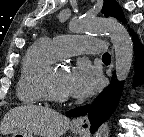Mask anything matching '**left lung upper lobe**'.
I'll list each match as a JSON object with an SVG mask.
<instances>
[{
    "mask_svg": "<svg viewBox=\"0 0 144 137\" xmlns=\"http://www.w3.org/2000/svg\"><path fill=\"white\" fill-rule=\"evenodd\" d=\"M102 13L105 14L106 17L110 16L120 20L121 22H126L122 9L115 0H104Z\"/></svg>",
    "mask_w": 144,
    "mask_h": 137,
    "instance_id": "left-lung-upper-lobe-1",
    "label": "left lung upper lobe"
}]
</instances>
